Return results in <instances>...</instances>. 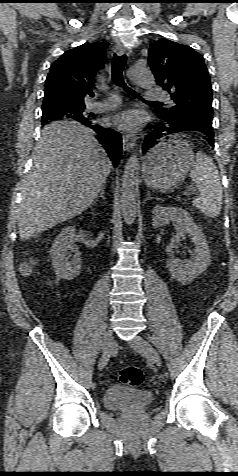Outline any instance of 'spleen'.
Here are the masks:
<instances>
[{
    "label": "spleen",
    "instance_id": "1",
    "mask_svg": "<svg viewBox=\"0 0 238 476\" xmlns=\"http://www.w3.org/2000/svg\"><path fill=\"white\" fill-rule=\"evenodd\" d=\"M190 177L200 193L193 205L207 217H217L222 208L223 193L218 170L212 159L197 152Z\"/></svg>",
    "mask_w": 238,
    "mask_h": 476
}]
</instances>
